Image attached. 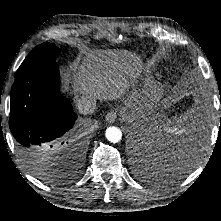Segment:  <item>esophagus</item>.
Returning a JSON list of instances; mask_svg holds the SVG:
<instances>
[{
	"label": "esophagus",
	"mask_w": 221,
	"mask_h": 221,
	"mask_svg": "<svg viewBox=\"0 0 221 221\" xmlns=\"http://www.w3.org/2000/svg\"><path fill=\"white\" fill-rule=\"evenodd\" d=\"M117 118V113L115 111H110L106 114L105 119L107 123H113Z\"/></svg>",
	"instance_id": "1"
}]
</instances>
